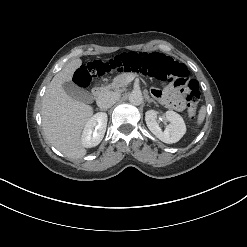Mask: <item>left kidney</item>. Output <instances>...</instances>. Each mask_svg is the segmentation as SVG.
Masks as SVG:
<instances>
[{
    "label": "left kidney",
    "mask_w": 247,
    "mask_h": 247,
    "mask_svg": "<svg viewBox=\"0 0 247 247\" xmlns=\"http://www.w3.org/2000/svg\"><path fill=\"white\" fill-rule=\"evenodd\" d=\"M158 112L148 110L145 113V121L148 129L162 142L172 144L178 142L186 133V125L183 118L174 111H167L165 118L170 124L162 130L157 121Z\"/></svg>",
    "instance_id": "left-kidney-1"
}]
</instances>
